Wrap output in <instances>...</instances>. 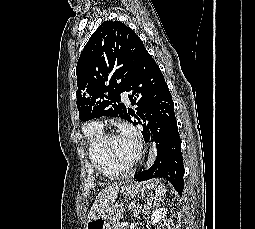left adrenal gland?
<instances>
[{
  "label": "left adrenal gland",
  "instance_id": "1",
  "mask_svg": "<svg viewBox=\"0 0 255 229\" xmlns=\"http://www.w3.org/2000/svg\"><path fill=\"white\" fill-rule=\"evenodd\" d=\"M156 198H155V200H154V202H153V200H151L149 203H148V205H156ZM153 202V203H152ZM146 207V205H144V208Z\"/></svg>",
  "mask_w": 255,
  "mask_h": 229
}]
</instances>
